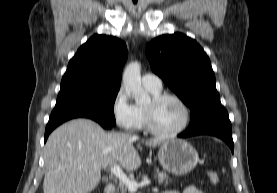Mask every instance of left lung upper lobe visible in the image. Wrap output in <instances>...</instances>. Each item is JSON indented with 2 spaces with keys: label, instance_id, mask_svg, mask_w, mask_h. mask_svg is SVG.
<instances>
[{
  "label": "left lung upper lobe",
  "instance_id": "obj_1",
  "mask_svg": "<svg viewBox=\"0 0 277 193\" xmlns=\"http://www.w3.org/2000/svg\"><path fill=\"white\" fill-rule=\"evenodd\" d=\"M154 73L190 108V125L225 110L216 90L211 62L202 47L182 33L162 35L146 47Z\"/></svg>",
  "mask_w": 277,
  "mask_h": 193
}]
</instances>
